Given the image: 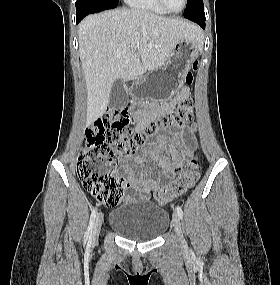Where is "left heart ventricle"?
<instances>
[{"instance_id":"obj_1","label":"left heart ventricle","mask_w":280,"mask_h":285,"mask_svg":"<svg viewBox=\"0 0 280 285\" xmlns=\"http://www.w3.org/2000/svg\"><path fill=\"white\" fill-rule=\"evenodd\" d=\"M165 3L170 10L177 11L181 9L183 0H165Z\"/></svg>"}]
</instances>
